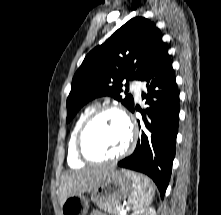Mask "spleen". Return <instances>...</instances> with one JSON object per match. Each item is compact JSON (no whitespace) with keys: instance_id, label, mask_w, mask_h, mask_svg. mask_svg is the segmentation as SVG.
<instances>
[{"instance_id":"spleen-1","label":"spleen","mask_w":221,"mask_h":215,"mask_svg":"<svg viewBox=\"0 0 221 215\" xmlns=\"http://www.w3.org/2000/svg\"><path fill=\"white\" fill-rule=\"evenodd\" d=\"M143 176V175H142ZM135 189L128 199L130 207L135 210H141L151 203L154 195V188L149 178L144 176L143 181L134 175Z\"/></svg>"}]
</instances>
